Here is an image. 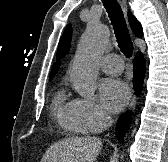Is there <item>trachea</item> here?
I'll return each instance as SVG.
<instances>
[{"label": "trachea", "instance_id": "trachea-1", "mask_svg": "<svg viewBox=\"0 0 168 162\" xmlns=\"http://www.w3.org/2000/svg\"><path fill=\"white\" fill-rule=\"evenodd\" d=\"M102 2L112 22L121 52L126 57H131L133 52V43L131 41L127 24L119 3L117 0H102Z\"/></svg>", "mask_w": 168, "mask_h": 162}]
</instances>
